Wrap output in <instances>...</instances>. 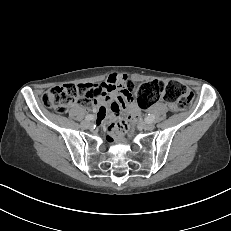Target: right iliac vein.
I'll return each mask as SVG.
<instances>
[{"label":"right iliac vein","instance_id":"right-iliac-vein-1","mask_svg":"<svg viewBox=\"0 0 231 231\" xmlns=\"http://www.w3.org/2000/svg\"><path fill=\"white\" fill-rule=\"evenodd\" d=\"M91 126V123H90V121H88V120H84V121H82V123H81V127H83V128H89Z\"/></svg>","mask_w":231,"mask_h":231}]
</instances>
